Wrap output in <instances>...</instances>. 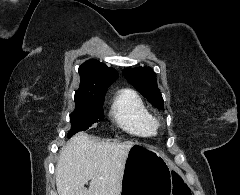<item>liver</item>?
Returning a JSON list of instances; mask_svg holds the SVG:
<instances>
[{
    "label": "liver",
    "instance_id": "liver-1",
    "mask_svg": "<svg viewBox=\"0 0 240 195\" xmlns=\"http://www.w3.org/2000/svg\"><path fill=\"white\" fill-rule=\"evenodd\" d=\"M134 141L112 143L79 131L59 151L58 195H119L128 149ZM89 187H84L85 183Z\"/></svg>",
    "mask_w": 240,
    "mask_h": 195
}]
</instances>
